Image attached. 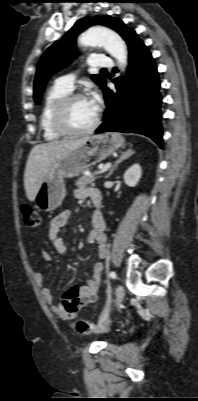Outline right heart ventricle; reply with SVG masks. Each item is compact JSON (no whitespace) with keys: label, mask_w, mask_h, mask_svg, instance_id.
<instances>
[{"label":"right heart ventricle","mask_w":198,"mask_h":401,"mask_svg":"<svg viewBox=\"0 0 198 401\" xmlns=\"http://www.w3.org/2000/svg\"><path fill=\"white\" fill-rule=\"evenodd\" d=\"M69 94V91L57 85L51 87L44 98L41 114H40V129L44 139L48 141L58 140L63 137L53 126L52 115L55 106L64 96Z\"/></svg>","instance_id":"1"}]
</instances>
